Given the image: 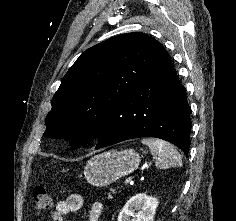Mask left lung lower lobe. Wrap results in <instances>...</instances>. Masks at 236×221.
Masks as SVG:
<instances>
[{"mask_svg": "<svg viewBox=\"0 0 236 221\" xmlns=\"http://www.w3.org/2000/svg\"><path fill=\"white\" fill-rule=\"evenodd\" d=\"M191 131L186 90L164 50L136 88L116 107L99 135L96 149L124 140L156 137L187 156Z\"/></svg>", "mask_w": 236, "mask_h": 221, "instance_id": "obj_1", "label": "left lung lower lobe"}]
</instances>
